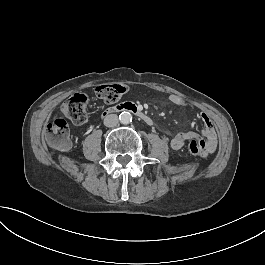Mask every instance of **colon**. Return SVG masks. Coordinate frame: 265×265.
<instances>
[{"mask_svg": "<svg viewBox=\"0 0 265 265\" xmlns=\"http://www.w3.org/2000/svg\"><path fill=\"white\" fill-rule=\"evenodd\" d=\"M127 91L124 84L103 85L97 89L98 97L106 103L118 101ZM88 98L83 94H74L61 107V114L55 116L44 128L42 138L44 143L56 151H65L72 146L67 119L76 124H84L88 120ZM200 148L196 139H190L186 150L195 156Z\"/></svg>", "mask_w": 265, "mask_h": 265, "instance_id": "1", "label": "colon"}]
</instances>
